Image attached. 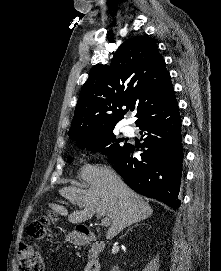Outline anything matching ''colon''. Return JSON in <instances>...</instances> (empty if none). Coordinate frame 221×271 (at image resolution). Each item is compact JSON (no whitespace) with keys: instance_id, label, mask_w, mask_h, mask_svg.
<instances>
[{"instance_id":"5ec220e1","label":"colon","mask_w":221,"mask_h":271,"mask_svg":"<svg viewBox=\"0 0 221 271\" xmlns=\"http://www.w3.org/2000/svg\"><path fill=\"white\" fill-rule=\"evenodd\" d=\"M55 212H48L46 215L37 218L30 226V236L37 240L48 237V223L56 220ZM19 271H44V264L35 246L29 243H21L18 248Z\"/></svg>"}]
</instances>
